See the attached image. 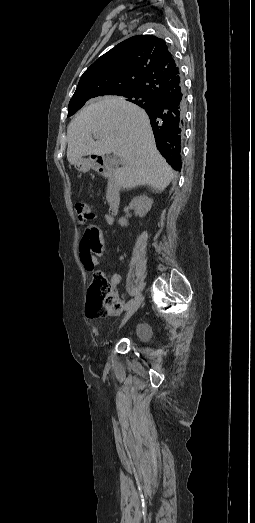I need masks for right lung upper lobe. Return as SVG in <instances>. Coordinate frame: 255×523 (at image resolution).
<instances>
[{
	"label": "right lung upper lobe",
	"mask_w": 255,
	"mask_h": 523,
	"mask_svg": "<svg viewBox=\"0 0 255 523\" xmlns=\"http://www.w3.org/2000/svg\"><path fill=\"white\" fill-rule=\"evenodd\" d=\"M140 91L148 98L135 104L142 107L149 116L153 133L157 132L152 117L155 105L167 98L178 96L182 100L176 109L179 127L178 136L173 140L180 143L179 151L168 154L165 145L156 141L157 148L175 169L181 166V141L185 113L183 81L165 41L151 35L131 37L98 58L82 75L69 106L84 105L119 94Z\"/></svg>",
	"instance_id": "cb5924a9"
}]
</instances>
